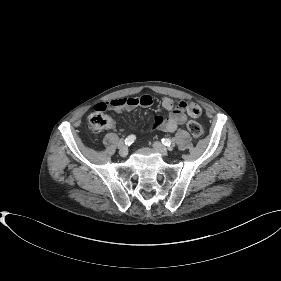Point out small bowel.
Instances as JSON below:
<instances>
[{"label": "small bowel", "mask_w": 281, "mask_h": 281, "mask_svg": "<svg viewBox=\"0 0 281 281\" xmlns=\"http://www.w3.org/2000/svg\"><path fill=\"white\" fill-rule=\"evenodd\" d=\"M153 103L150 95L145 94L138 97H121L112 99L106 102H99L95 105V110L110 109L116 112L130 111L137 107H149ZM162 107L169 113L167 116L157 115L154 118L153 129L164 132H173L180 125L184 124L187 114L191 116H198L201 113L200 107L192 102L178 101L175 102L171 98L164 97L161 100ZM190 107H197L200 109L199 113H194Z\"/></svg>", "instance_id": "1"}]
</instances>
